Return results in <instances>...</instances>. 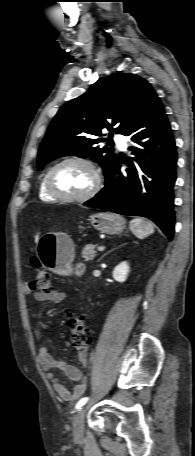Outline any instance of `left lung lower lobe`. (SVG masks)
Listing matches in <instances>:
<instances>
[{
  "label": "left lung lower lobe",
  "mask_w": 195,
  "mask_h": 456,
  "mask_svg": "<svg viewBox=\"0 0 195 456\" xmlns=\"http://www.w3.org/2000/svg\"><path fill=\"white\" fill-rule=\"evenodd\" d=\"M125 136L139 144L130 147L137 166L127 163L130 168L123 175L119 159L105 177V187L84 205L147 217L172 240L177 155L170 123L158 96L135 119Z\"/></svg>",
  "instance_id": "left-lung-lower-lobe-1"
}]
</instances>
